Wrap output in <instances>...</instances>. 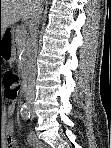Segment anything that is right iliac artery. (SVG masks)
<instances>
[{
    "label": "right iliac artery",
    "mask_w": 111,
    "mask_h": 148,
    "mask_svg": "<svg viewBox=\"0 0 111 148\" xmlns=\"http://www.w3.org/2000/svg\"><path fill=\"white\" fill-rule=\"evenodd\" d=\"M20 112H21V116H22V118H23L24 120H27V119L30 118V112H29V110H28V108H27L26 105H24V106L21 108Z\"/></svg>",
    "instance_id": "right-iliac-artery-1"
}]
</instances>
